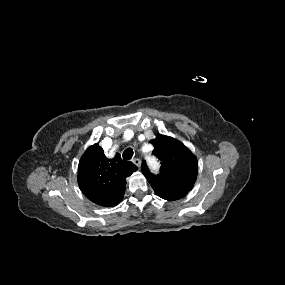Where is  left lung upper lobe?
Here are the masks:
<instances>
[{"label":"left lung upper lobe","mask_w":285,"mask_h":285,"mask_svg":"<svg viewBox=\"0 0 285 285\" xmlns=\"http://www.w3.org/2000/svg\"><path fill=\"white\" fill-rule=\"evenodd\" d=\"M153 154L161 160V173H150L146 162L142 172L154 191H177L188 193L194 186L198 173V161L180 141L165 135L151 140Z\"/></svg>","instance_id":"5c2ea615"}]
</instances>
